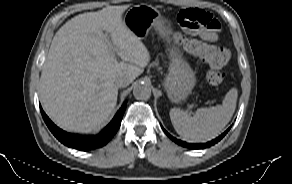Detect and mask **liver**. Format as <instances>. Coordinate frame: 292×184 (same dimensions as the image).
<instances>
[{"label": "liver", "mask_w": 292, "mask_h": 184, "mask_svg": "<svg viewBox=\"0 0 292 184\" xmlns=\"http://www.w3.org/2000/svg\"><path fill=\"white\" fill-rule=\"evenodd\" d=\"M127 8L110 6L80 14L55 34L42 67L39 95L60 128L87 133L106 122L117 103V79L132 82L149 63L148 49L122 20Z\"/></svg>", "instance_id": "6515ba94"}]
</instances>
